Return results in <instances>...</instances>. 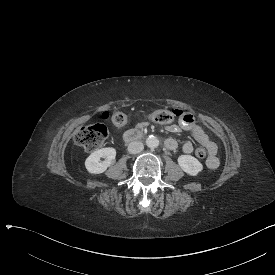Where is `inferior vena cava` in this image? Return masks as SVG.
<instances>
[{
    "label": "inferior vena cava",
    "mask_w": 275,
    "mask_h": 275,
    "mask_svg": "<svg viewBox=\"0 0 275 275\" xmlns=\"http://www.w3.org/2000/svg\"><path fill=\"white\" fill-rule=\"evenodd\" d=\"M144 146L143 143L141 141H133L128 145V152L130 154H136L139 153L143 150Z\"/></svg>",
    "instance_id": "1"
}]
</instances>
